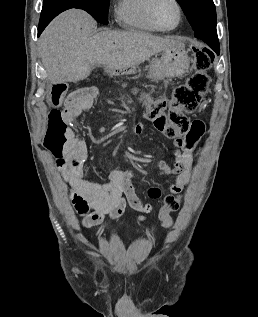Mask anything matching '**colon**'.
<instances>
[{
    "label": "colon",
    "instance_id": "5ec220e1",
    "mask_svg": "<svg viewBox=\"0 0 258 317\" xmlns=\"http://www.w3.org/2000/svg\"><path fill=\"white\" fill-rule=\"evenodd\" d=\"M193 53L195 72L185 84L174 90L169 101L153 100L148 93L142 95L146 118L169 139L181 138L189 132L191 128L189 114L197 109L207 91L209 83L207 72L212 67L215 56L207 48H194ZM66 91L65 83H57L49 96L55 108L49 113L45 147L55 153L61 152L74 134L71 128L72 120L62 108ZM179 206V196L168 195L165 198L159 213L164 227L172 225L170 214L178 210Z\"/></svg>",
    "mask_w": 258,
    "mask_h": 317
}]
</instances>
